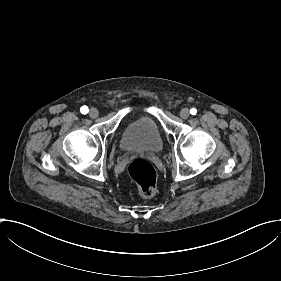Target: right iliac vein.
<instances>
[{"instance_id": "right-iliac-vein-1", "label": "right iliac vein", "mask_w": 281, "mask_h": 281, "mask_svg": "<svg viewBox=\"0 0 281 281\" xmlns=\"http://www.w3.org/2000/svg\"><path fill=\"white\" fill-rule=\"evenodd\" d=\"M89 113H90L91 116L96 117V116H98L99 111H98V109L93 108V109L90 110Z\"/></svg>"}]
</instances>
